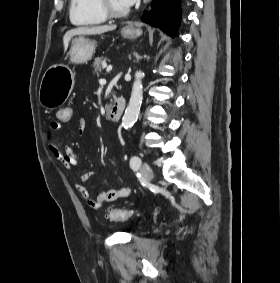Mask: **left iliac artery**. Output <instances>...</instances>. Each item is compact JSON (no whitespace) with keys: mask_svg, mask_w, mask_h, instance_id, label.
<instances>
[{"mask_svg":"<svg viewBox=\"0 0 280 283\" xmlns=\"http://www.w3.org/2000/svg\"><path fill=\"white\" fill-rule=\"evenodd\" d=\"M141 165V159L138 156H133L130 159V167L134 170L137 171Z\"/></svg>","mask_w":280,"mask_h":283,"instance_id":"44dca946","label":"left iliac artery"}]
</instances>
